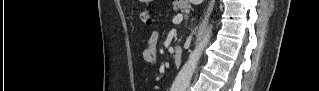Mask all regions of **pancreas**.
I'll return each mask as SVG.
<instances>
[{
  "label": "pancreas",
  "mask_w": 319,
  "mask_h": 91,
  "mask_svg": "<svg viewBox=\"0 0 319 91\" xmlns=\"http://www.w3.org/2000/svg\"><path fill=\"white\" fill-rule=\"evenodd\" d=\"M178 4H175L174 7H173V10L174 11H178V10H181V11H185V9H187L189 7V5H187V3H185L186 1H177ZM184 2V3H182Z\"/></svg>",
  "instance_id": "cf45deb5"
}]
</instances>
